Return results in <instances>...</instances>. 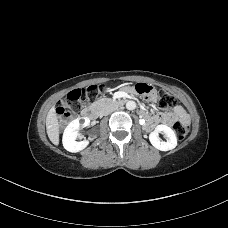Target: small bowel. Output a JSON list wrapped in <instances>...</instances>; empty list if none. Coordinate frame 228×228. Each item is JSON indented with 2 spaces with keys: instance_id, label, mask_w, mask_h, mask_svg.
<instances>
[{
  "instance_id": "small-bowel-1",
  "label": "small bowel",
  "mask_w": 228,
  "mask_h": 228,
  "mask_svg": "<svg viewBox=\"0 0 228 228\" xmlns=\"http://www.w3.org/2000/svg\"><path fill=\"white\" fill-rule=\"evenodd\" d=\"M125 93L133 92V89L131 88H124ZM152 100H155V94L150 96ZM141 112L143 114H146V110L144 108L141 109ZM157 118V121L149 126H146L147 128L151 129L155 124L161 123L170 125L174 119L179 118L181 119L185 124L189 123V116L184 110V108L180 105L174 106L173 110L169 113L161 114L158 116H155Z\"/></svg>"
}]
</instances>
